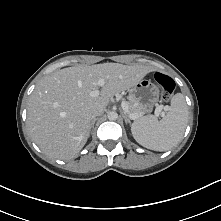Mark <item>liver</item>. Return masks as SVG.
I'll return each mask as SVG.
<instances>
[{
    "label": "liver",
    "instance_id": "1",
    "mask_svg": "<svg viewBox=\"0 0 221 221\" xmlns=\"http://www.w3.org/2000/svg\"><path fill=\"white\" fill-rule=\"evenodd\" d=\"M152 71L142 65L103 63L64 68L46 76L28 102L27 126L34 142L49 157H76L87 142L93 111L105 109L111 97L132 88ZM100 79L105 84L92 97Z\"/></svg>",
    "mask_w": 221,
    "mask_h": 221
}]
</instances>
